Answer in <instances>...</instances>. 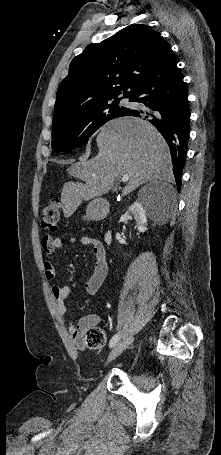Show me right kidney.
I'll return each instance as SVG.
<instances>
[{
  "label": "right kidney",
  "instance_id": "obj_1",
  "mask_svg": "<svg viewBox=\"0 0 221 455\" xmlns=\"http://www.w3.org/2000/svg\"><path fill=\"white\" fill-rule=\"evenodd\" d=\"M132 215L134 217V220L137 223L139 232H142V233L145 232L147 230V227H146L147 218H146L145 210H144L143 206L137 201L134 202L128 208L126 213L121 216L119 222H125L127 220H131ZM116 239L119 242H123L119 233L116 234Z\"/></svg>",
  "mask_w": 221,
  "mask_h": 455
}]
</instances>
